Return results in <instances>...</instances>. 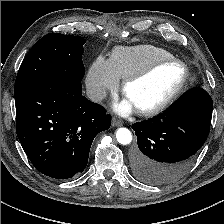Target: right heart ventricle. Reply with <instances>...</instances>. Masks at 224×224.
Returning <instances> with one entry per match:
<instances>
[{"label": "right heart ventricle", "instance_id": "e07e8e85", "mask_svg": "<svg viewBox=\"0 0 224 224\" xmlns=\"http://www.w3.org/2000/svg\"><path fill=\"white\" fill-rule=\"evenodd\" d=\"M173 55L166 49L150 45L116 47L111 54L110 64L119 79L140 71L155 60L170 58Z\"/></svg>", "mask_w": 224, "mask_h": 224}]
</instances>
